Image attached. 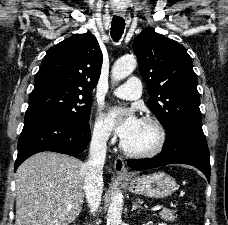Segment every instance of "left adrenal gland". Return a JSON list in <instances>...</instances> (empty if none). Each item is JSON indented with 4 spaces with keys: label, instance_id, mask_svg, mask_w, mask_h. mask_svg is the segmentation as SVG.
<instances>
[{
    "label": "left adrenal gland",
    "instance_id": "left-adrenal-gland-1",
    "mask_svg": "<svg viewBox=\"0 0 228 225\" xmlns=\"http://www.w3.org/2000/svg\"><path fill=\"white\" fill-rule=\"evenodd\" d=\"M136 209H141V207H139V205H137V203H133V207H132L131 211H136Z\"/></svg>",
    "mask_w": 228,
    "mask_h": 225
}]
</instances>
